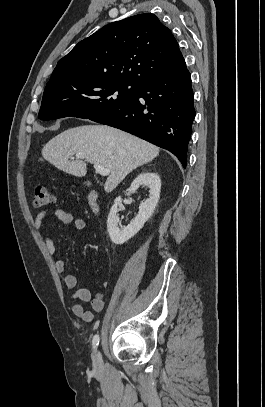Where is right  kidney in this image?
Listing matches in <instances>:
<instances>
[{"label":"right kidney","instance_id":"1","mask_svg":"<svg viewBox=\"0 0 265 407\" xmlns=\"http://www.w3.org/2000/svg\"><path fill=\"white\" fill-rule=\"evenodd\" d=\"M142 185L149 187V198L140 205L139 213L135 219L122 229L118 227V206L121 205L122 199L121 197H117L114 201V205L112 206L107 219L108 233L114 244L121 245L135 236L154 212L160 197L161 180L159 175L153 172L141 173L132 182L130 188L126 191V194L130 195Z\"/></svg>","mask_w":265,"mask_h":407}]
</instances>
